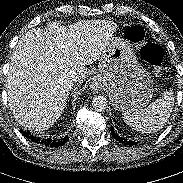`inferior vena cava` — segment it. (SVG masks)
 Wrapping results in <instances>:
<instances>
[{"label":"inferior vena cava","mask_w":183,"mask_h":183,"mask_svg":"<svg viewBox=\"0 0 183 183\" xmlns=\"http://www.w3.org/2000/svg\"><path fill=\"white\" fill-rule=\"evenodd\" d=\"M68 77L72 82L80 80V76L76 71H71Z\"/></svg>","instance_id":"inferior-vena-cava-1"}]
</instances>
